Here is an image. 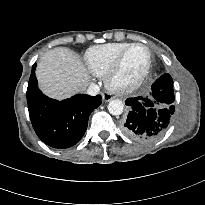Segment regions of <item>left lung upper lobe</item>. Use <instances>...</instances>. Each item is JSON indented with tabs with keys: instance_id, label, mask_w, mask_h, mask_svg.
<instances>
[{
	"instance_id": "5c2ea615",
	"label": "left lung upper lobe",
	"mask_w": 205,
	"mask_h": 205,
	"mask_svg": "<svg viewBox=\"0 0 205 205\" xmlns=\"http://www.w3.org/2000/svg\"><path fill=\"white\" fill-rule=\"evenodd\" d=\"M155 87H158L162 91L168 92L167 95L172 97V101L174 102V92H173V79L169 74H163L160 78H158L152 85L151 91L154 90Z\"/></svg>"
}]
</instances>
